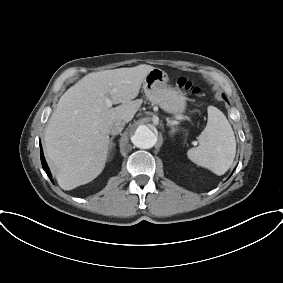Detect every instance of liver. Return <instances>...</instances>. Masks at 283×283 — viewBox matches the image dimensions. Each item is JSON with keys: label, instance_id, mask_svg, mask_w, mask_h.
<instances>
[{"label": "liver", "instance_id": "6515ba94", "mask_svg": "<svg viewBox=\"0 0 283 283\" xmlns=\"http://www.w3.org/2000/svg\"><path fill=\"white\" fill-rule=\"evenodd\" d=\"M154 67L141 64L90 73L59 99L44 135L45 154L59 186L72 190L94 180L104 169L110 127L129 122L142 104L134 100ZM109 98L117 107H109Z\"/></svg>", "mask_w": 283, "mask_h": 283}]
</instances>
